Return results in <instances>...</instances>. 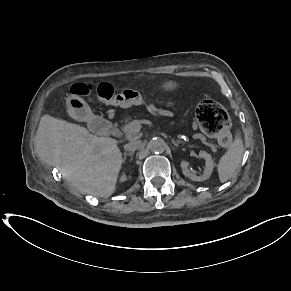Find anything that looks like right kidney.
Segmentation results:
<instances>
[{"label": "right kidney", "instance_id": "ca27d5eb", "mask_svg": "<svg viewBox=\"0 0 291 291\" xmlns=\"http://www.w3.org/2000/svg\"><path fill=\"white\" fill-rule=\"evenodd\" d=\"M126 180V176H125V174H123L122 176H121V178H120V181L121 182H124Z\"/></svg>", "mask_w": 291, "mask_h": 291}]
</instances>
